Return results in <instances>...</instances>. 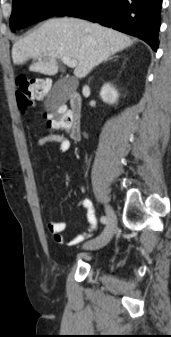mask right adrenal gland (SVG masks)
Masks as SVG:
<instances>
[{"label":"right adrenal gland","instance_id":"obj_1","mask_svg":"<svg viewBox=\"0 0 171 337\" xmlns=\"http://www.w3.org/2000/svg\"><path fill=\"white\" fill-rule=\"evenodd\" d=\"M117 57H118V56H117ZM112 58H113V57H110L109 60L112 59ZM107 60H108V59H106L104 62H106Z\"/></svg>","mask_w":171,"mask_h":337}]
</instances>
